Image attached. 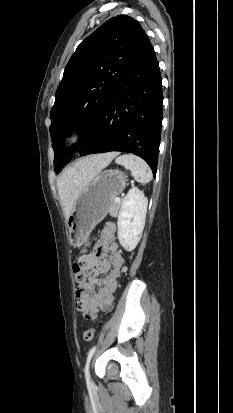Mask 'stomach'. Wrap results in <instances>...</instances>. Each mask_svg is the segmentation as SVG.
I'll return each mask as SVG.
<instances>
[{
  "mask_svg": "<svg viewBox=\"0 0 233 413\" xmlns=\"http://www.w3.org/2000/svg\"><path fill=\"white\" fill-rule=\"evenodd\" d=\"M125 186L126 175L122 171L105 170L81 191L67 219L70 241L74 246L79 247L87 240Z\"/></svg>",
  "mask_w": 233,
  "mask_h": 413,
  "instance_id": "stomach-1",
  "label": "stomach"
}]
</instances>
